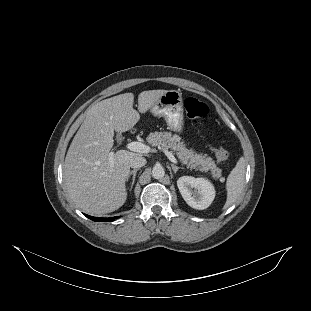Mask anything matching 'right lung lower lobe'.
<instances>
[{"mask_svg":"<svg viewBox=\"0 0 311 311\" xmlns=\"http://www.w3.org/2000/svg\"><path fill=\"white\" fill-rule=\"evenodd\" d=\"M88 218H90L93 221H113L114 219H116L117 217H112V218H97V217H92L89 215H86Z\"/></svg>","mask_w":311,"mask_h":311,"instance_id":"98d812e1","label":"right lung lower lobe"}]
</instances>
